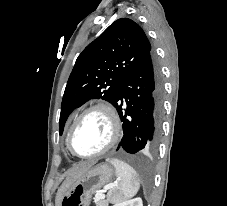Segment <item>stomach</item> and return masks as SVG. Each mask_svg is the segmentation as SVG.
<instances>
[{
	"instance_id": "obj_1",
	"label": "stomach",
	"mask_w": 227,
	"mask_h": 206,
	"mask_svg": "<svg viewBox=\"0 0 227 206\" xmlns=\"http://www.w3.org/2000/svg\"><path fill=\"white\" fill-rule=\"evenodd\" d=\"M114 170L107 163L91 167L60 197L61 206H89L92 195L112 180Z\"/></svg>"
}]
</instances>
